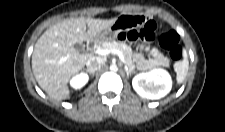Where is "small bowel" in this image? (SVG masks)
I'll use <instances>...</instances> for the list:
<instances>
[{
  "mask_svg": "<svg viewBox=\"0 0 225 132\" xmlns=\"http://www.w3.org/2000/svg\"><path fill=\"white\" fill-rule=\"evenodd\" d=\"M144 20L141 16H130L126 19L128 27L139 25ZM143 52H147L145 56ZM134 61L140 70H151L159 67H164L167 60L162 52L156 47H150L145 44H140L137 47V52L134 54Z\"/></svg>",
  "mask_w": 225,
  "mask_h": 132,
  "instance_id": "1",
  "label": "small bowel"
}]
</instances>
